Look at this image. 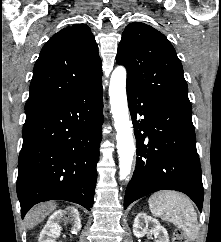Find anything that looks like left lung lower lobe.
Here are the masks:
<instances>
[{
    "mask_svg": "<svg viewBox=\"0 0 221 242\" xmlns=\"http://www.w3.org/2000/svg\"><path fill=\"white\" fill-rule=\"evenodd\" d=\"M126 87L137 158L124 209L143 196L168 189L187 194L201 211L204 190L191 113L162 104L129 82Z\"/></svg>",
    "mask_w": 221,
    "mask_h": 242,
    "instance_id": "left-lung-lower-lobe-1",
    "label": "left lung lower lobe"
}]
</instances>
